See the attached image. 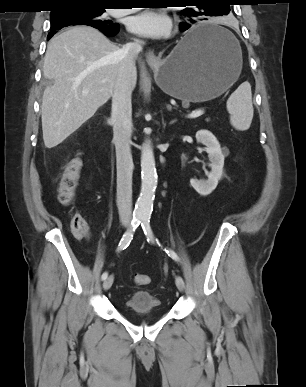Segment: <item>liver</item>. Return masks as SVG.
Segmentation results:
<instances>
[{
	"instance_id": "liver-1",
	"label": "liver",
	"mask_w": 306,
	"mask_h": 387,
	"mask_svg": "<svg viewBox=\"0 0 306 387\" xmlns=\"http://www.w3.org/2000/svg\"><path fill=\"white\" fill-rule=\"evenodd\" d=\"M120 50L100 31L86 26L72 27L50 40L43 74L53 84L44 90L41 106L45 147L62 143L110 99ZM136 80L135 67L133 89Z\"/></svg>"
}]
</instances>
